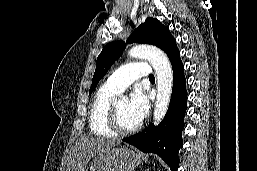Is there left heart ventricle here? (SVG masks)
Here are the masks:
<instances>
[{
    "label": "left heart ventricle",
    "instance_id": "obj_1",
    "mask_svg": "<svg viewBox=\"0 0 257 171\" xmlns=\"http://www.w3.org/2000/svg\"><path fill=\"white\" fill-rule=\"evenodd\" d=\"M116 108H117L120 123L123 127L131 128L139 123L130 113L129 103L127 101L117 102Z\"/></svg>",
    "mask_w": 257,
    "mask_h": 171
}]
</instances>
